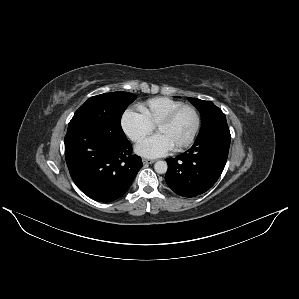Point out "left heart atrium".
<instances>
[{"mask_svg":"<svg viewBox=\"0 0 299 299\" xmlns=\"http://www.w3.org/2000/svg\"><path fill=\"white\" fill-rule=\"evenodd\" d=\"M173 149L174 147L168 139L159 133L141 141L135 147L138 154L148 158L163 156Z\"/></svg>","mask_w":299,"mask_h":299,"instance_id":"1","label":"left heart atrium"}]
</instances>
